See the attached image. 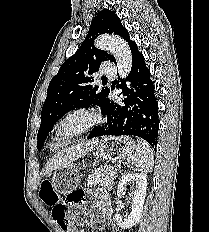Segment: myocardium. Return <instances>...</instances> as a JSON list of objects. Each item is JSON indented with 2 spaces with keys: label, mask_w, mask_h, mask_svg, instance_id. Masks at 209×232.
<instances>
[{
  "label": "myocardium",
  "mask_w": 209,
  "mask_h": 232,
  "mask_svg": "<svg viewBox=\"0 0 209 232\" xmlns=\"http://www.w3.org/2000/svg\"><path fill=\"white\" fill-rule=\"evenodd\" d=\"M76 117L83 118L84 122L76 129H67L66 124ZM100 122V117L95 112L85 109L76 108L62 116L53 128V138L50 143V148L53 149V141L57 138L71 139L81 136L94 129Z\"/></svg>",
  "instance_id": "obj_1"
}]
</instances>
